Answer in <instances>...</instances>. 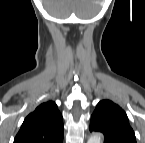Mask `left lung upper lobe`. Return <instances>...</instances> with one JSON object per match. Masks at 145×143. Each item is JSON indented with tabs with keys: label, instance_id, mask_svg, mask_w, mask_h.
<instances>
[{
	"label": "left lung upper lobe",
	"instance_id": "1",
	"mask_svg": "<svg viewBox=\"0 0 145 143\" xmlns=\"http://www.w3.org/2000/svg\"><path fill=\"white\" fill-rule=\"evenodd\" d=\"M90 131L104 134V143H136L126 113L110 100L100 101L91 116Z\"/></svg>",
	"mask_w": 145,
	"mask_h": 143
}]
</instances>
